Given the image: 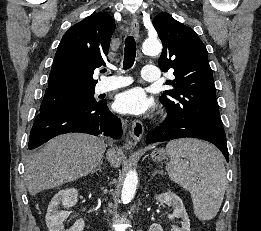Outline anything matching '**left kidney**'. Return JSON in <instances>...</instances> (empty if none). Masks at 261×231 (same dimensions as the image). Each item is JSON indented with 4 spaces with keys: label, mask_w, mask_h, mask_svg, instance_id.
<instances>
[{
    "label": "left kidney",
    "mask_w": 261,
    "mask_h": 231,
    "mask_svg": "<svg viewBox=\"0 0 261 231\" xmlns=\"http://www.w3.org/2000/svg\"><path fill=\"white\" fill-rule=\"evenodd\" d=\"M156 200L165 203L174 208L173 214L169 215V219L181 218L182 227L173 226V231H190V220L182 200L172 192H165L156 197ZM149 231H163L159 224H152Z\"/></svg>",
    "instance_id": "5707ae66"
}]
</instances>
